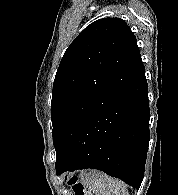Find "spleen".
Masks as SVG:
<instances>
[{
  "label": "spleen",
  "mask_w": 178,
  "mask_h": 195,
  "mask_svg": "<svg viewBox=\"0 0 178 195\" xmlns=\"http://www.w3.org/2000/svg\"><path fill=\"white\" fill-rule=\"evenodd\" d=\"M83 185L95 195H129L126 185L101 172H91L82 177Z\"/></svg>",
  "instance_id": "3e777b00"
}]
</instances>
